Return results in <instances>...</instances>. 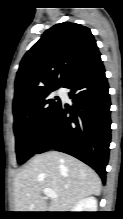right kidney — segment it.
<instances>
[{
	"label": "right kidney",
	"mask_w": 123,
	"mask_h": 219,
	"mask_svg": "<svg viewBox=\"0 0 123 219\" xmlns=\"http://www.w3.org/2000/svg\"><path fill=\"white\" fill-rule=\"evenodd\" d=\"M97 211V200L94 197H87L80 200L72 208L71 212H96Z\"/></svg>",
	"instance_id": "1"
}]
</instances>
